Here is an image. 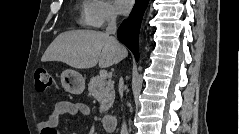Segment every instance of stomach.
<instances>
[{"label": "stomach", "mask_w": 239, "mask_h": 134, "mask_svg": "<svg viewBox=\"0 0 239 134\" xmlns=\"http://www.w3.org/2000/svg\"><path fill=\"white\" fill-rule=\"evenodd\" d=\"M61 84L72 94H81L85 89V79L79 72L72 69L61 73Z\"/></svg>", "instance_id": "obj_1"}]
</instances>
